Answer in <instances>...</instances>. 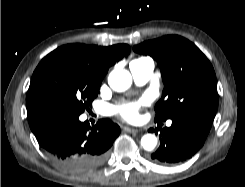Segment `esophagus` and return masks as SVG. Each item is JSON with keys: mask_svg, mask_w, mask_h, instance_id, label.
<instances>
[{"mask_svg": "<svg viewBox=\"0 0 245 187\" xmlns=\"http://www.w3.org/2000/svg\"><path fill=\"white\" fill-rule=\"evenodd\" d=\"M123 130L126 132H130V133H138V132L142 131L141 129L131 128V127H124Z\"/></svg>", "mask_w": 245, "mask_h": 187, "instance_id": "34e87169", "label": "esophagus"}]
</instances>
